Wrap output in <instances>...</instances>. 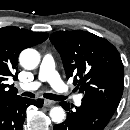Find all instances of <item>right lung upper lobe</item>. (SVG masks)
<instances>
[{
	"mask_svg": "<svg viewBox=\"0 0 130 130\" xmlns=\"http://www.w3.org/2000/svg\"><path fill=\"white\" fill-rule=\"evenodd\" d=\"M48 33L31 32L18 27L0 28V99L16 97L17 89L5 83L9 77L17 76V61L20 52L42 43Z\"/></svg>",
	"mask_w": 130,
	"mask_h": 130,
	"instance_id": "right-lung-upper-lobe-1",
	"label": "right lung upper lobe"
}]
</instances>
